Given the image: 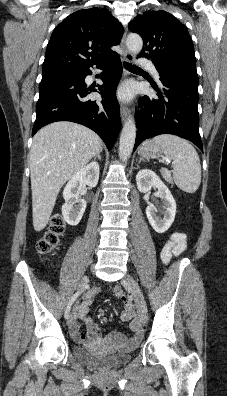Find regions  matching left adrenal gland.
I'll return each instance as SVG.
<instances>
[{
    "mask_svg": "<svg viewBox=\"0 0 227 396\" xmlns=\"http://www.w3.org/2000/svg\"><path fill=\"white\" fill-rule=\"evenodd\" d=\"M142 161H143V159H142V158H140V159H139V161H138V163H140V162H142ZM137 166H138V165H137Z\"/></svg>",
    "mask_w": 227,
    "mask_h": 396,
    "instance_id": "a2214340",
    "label": "left adrenal gland"
}]
</instances>
